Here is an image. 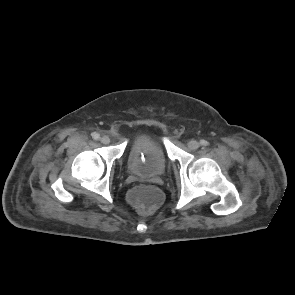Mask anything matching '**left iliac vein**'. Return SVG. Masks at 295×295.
I'll list each match as a JSON object with an SVG mask.
<instances>
[{"label": "left iliac vein", "mask_w": 295, "mask_h": 295, "mask_svg": "<svg viewBox=\"0 0 295 295\" xmlns=\"http://www.w3.org/2000/svg\"><path fill=\"white\" fill-rule=\"evenodd\" d=\"M199 146H200V144H199V142L196 141V140H190V141L188 142V147H189L190 149H192V150L197 149Z\"/></svg>", "instance_id": "obj_1"}]
</instances>
